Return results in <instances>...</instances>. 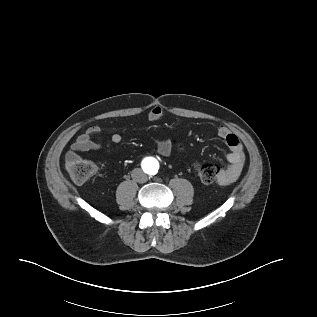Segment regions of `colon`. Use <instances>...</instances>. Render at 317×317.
<instances>
[{
    "mask_svg": "<svg viewBox=\"0 0 317 317\" xmlns=\"http://www.w3.org/2000/svg\"><path fill=\"white\" fill-rule=\"evenodd\" d=\"M67 167L72 180L79 184L90 179L96 171V167L91 161L83 159L69 161ZM194 169L198 178L204 184L213 183L220 172L219 168L212 163L196 164Z\"/></svg>",
    "mask_w": 317,
    "mask_h": 317,
    "instance_id": "obj_1",
    "label": "colon"
}]
</instances>
